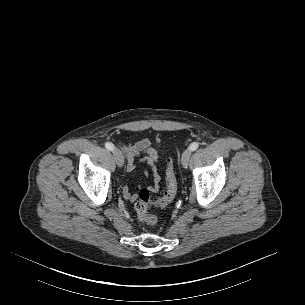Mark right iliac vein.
Wrapping results in <instances>:
<instances>
[{
	"label": "right iliac vein",
	"mask_w": 305,
	"mask_h": 305,
	"mask_svg": "<svg viewBox=\"0 0 305 305\" xmlns=\"http://www.w3.org/2000/svg\"><path fill=\"white\" fill-rule=\"evenodd\" d=\"M113 155H114L117 165L119 167H122L124 164V156H123V153L121 152V150H119L118 148H114Z\"/></svg>",
	"instance_id": "right-iliac-vein-1"
}]
</instances>
